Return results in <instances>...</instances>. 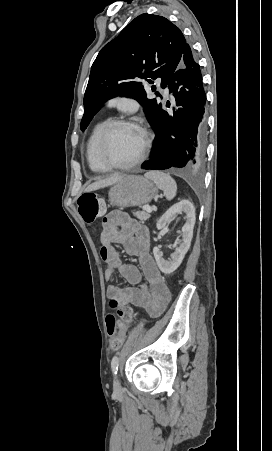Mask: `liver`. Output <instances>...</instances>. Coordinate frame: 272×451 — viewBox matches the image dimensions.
Returning <instances> with one entry per match:
<instances>
[{
	"mask_svg": "<svg viewBox=\"0 0 272 451\" xmlns=\"http://www.w3.org/2000/svg\"><path fill=\"white\" fill-rule=\"evenodd\" d=\"M123 176H112V178H106V180H99V182H94V184H90L87 186L86 192H92V190H99V188H105V186H112V184H116V182H120Z\"/></svg>",
	"mask_w": 272,
	"mask_h": 451,
	"instance_id": "6515ba94",
	"label": "liver"
}]
</instances>
